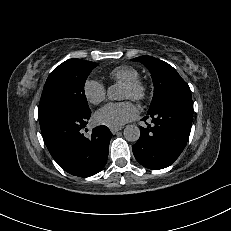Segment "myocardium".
<instances>
[{"instance_id":"1","label":"myocardium","mask_w":231,"mask_h":231,"mask_svg":"<svg viewBox=\"0 0 231 231\" xmlns=\"http://www.w3.org/2000/svg\"><path fill=\"white\" fill-rule=\"evenodd\" d=\"M124 86L131 91V99L136 102L143 101L147 96V85L139 79L136 81L125 83Z\"/></svg>"}]
</instances>
